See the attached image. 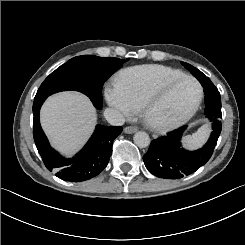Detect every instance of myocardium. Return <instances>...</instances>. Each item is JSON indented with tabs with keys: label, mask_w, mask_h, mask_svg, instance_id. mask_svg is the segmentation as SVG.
Masks as SVG:
<instances>
[{
	"label": "myocardium",
	"mask_w": 245,
	"mask_h": 245,
	"mask_svg": "<svg viewBox=\"0 0 245 245\" xmlns=\"http://www.w3.org/2000/svg\"><path fill=\"white\" fill-rule=\"evenodd\" d=\"M188 80L191 81L197 88V96L195 102L188 111L178 117H158L155 114V105L152 101L153 96L163 87L170 86L178 81ZM203 98V89L201 84L192 76L182 75L178 77L163 78L153 82L144 92L140 107L143 118L147 125L154 130L162 131L168 130L185 123L198 109Z\"/></svg>",
	"instance_id": "1"
}]
</instances>
